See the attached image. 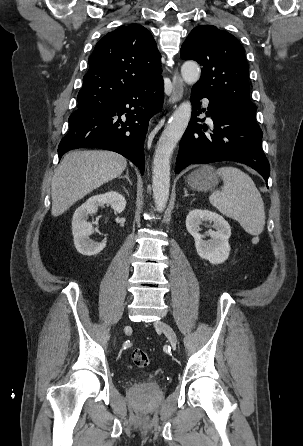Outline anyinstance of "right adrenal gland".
Wrapping results in <instances>:
<instances>
[{
  "instance_id": "2a0ac1e0",
  "label": "right adrenal gland",
  "mask_w": 303,
  "mask_h": 446,
  "mask_svg": "<svg viewBox=\"0 0 303 446\" xmlns=\"http://www.w3.org/2000/svg\"><path fill=\"white\" fill-rule=\"evenodd\" d=\"M120 178H126L128 180V182H129V184L132 185V182H131V180L129 178V171H128V169L126 170V175L125 176H120Z\"/></svg>"
}]
</instances>
